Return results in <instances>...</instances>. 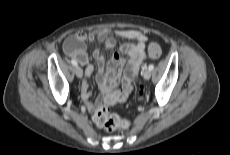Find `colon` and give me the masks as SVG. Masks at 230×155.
Instances as JSON below:
<instances>
[{
    "label": "colon",
    "mask_w": 230,
    "mask_h": 155,
    "mask_svg": "<svg viewBox=\"0 0 230 155\" xmlns=\"http://www.w3.org/2000/svg\"><path fill=\"white\" fill-rule=\"evenodd\" d=\"M148 51L151 58L157 59L161 53L160 45L157 42H152L148 47ZM137 90L141 93L142 87L139 85ZM114 98H116V96ZM93 120L97 125L108 132H112L117 128H128L130 125L128 120L121 119L119 116L109 113L105 106H97L95 108Z\"/></svg>",
    "instance_id": "1"
}]
</instances>
